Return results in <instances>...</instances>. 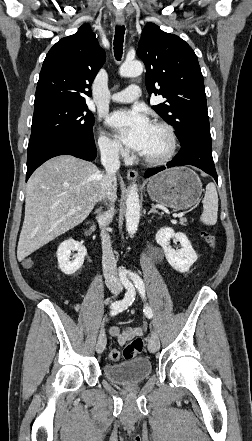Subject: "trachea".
Wrapping results in <instances>:
<instances>
[{"instance_id": "1", "label": "trachea", "mask_w": 252, "mask_h": 441, "mask_svg": "<svg viewBox=\"0 0 252 441\" xmlns=\"http://www.w3.org/2000/svg\"><path fill=\"white\" fill-rule=\"evenodd\" d=\"M125 27L116 26L114 36V54L117 60H120L123 54V42H124Z\"/></svg>"}]
</instances>
